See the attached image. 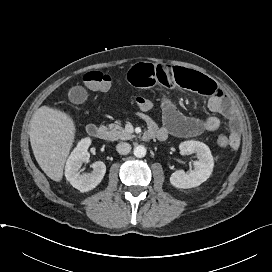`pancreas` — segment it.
<instances>
[{"label":"pancreas","instance_id":"obj_1","mask_svg":"<svg viewBox=\"0 0 272 272\" xmlns=\"http://www.w3.org/2000/svg\"><path fill=\"white\" fill-rule=\"evenodd\" d=\"M133 137L134 135L128 133L118 121L108 125L107 139L110 141L130 140Z\"/></svg>","mask_w":272,"mask_h":272}]
</instances>
